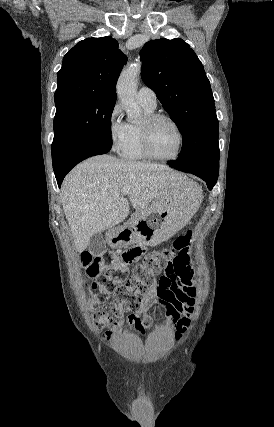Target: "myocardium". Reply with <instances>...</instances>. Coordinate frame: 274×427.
Wrapping results in <instances>:
<instances>
[{"mask_svg": "<svg viewBox=\"0 0 274 427\" xmlns=\"http://www.w3.org/2000/svg\"><path fill=\"white\" fill-rule=\"evenodd\" d=\"M159 121H166L170 123L176 130L179 138L178 150L175 155L171 157H161L157 155L151 148L150 145V133L152 127ZM139 142L140 147L144 155L151 160L160 161V162H170L175 161L180 158L184 150L185 137L183 131L179 124L170 116L166 114H150L146 115L142 122L139 124Z\"/></svg>", "mask_w": 274, "mask_h": 427, "instance_id": "1", "label": "myocardium"}]
</instances>
